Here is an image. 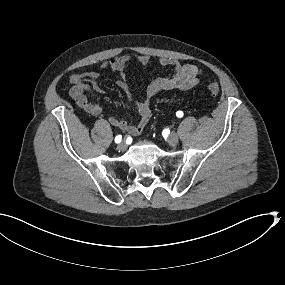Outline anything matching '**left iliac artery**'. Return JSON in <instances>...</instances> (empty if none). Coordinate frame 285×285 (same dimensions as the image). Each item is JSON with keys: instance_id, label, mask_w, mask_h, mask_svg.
<instances>
[{"instance_id": "obj_1", "label": "left iliac artery", "mask_w": 285, "mask_h": 285, "mask_svg": "<svg viewBox=\"0 0 285 285\" xmlns=\"http://www.w3.org/2000/svg\"><path fill=\"white\" fill-rule=\"evenodd\" d=\"M176 116L179 117V118L183 117V112L182 111H177L176 112Z\"/></svg>"}]
</instances>
